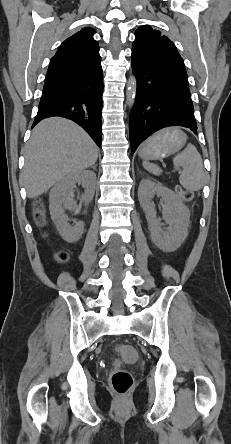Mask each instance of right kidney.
Segmentation results:
<instances>
[{"instance_id": "1", "label": "right kidney", "mask_w": 231, "mask_h": 444, "mask_svg": "<svg viewBox=\"0 0 231 444\" xmlns=\"http://www.w3.org/2000/svg\"><path fill=\"white\" fill-rule=\"evenodd\" d=\"M96 175L92 171L83 170L75 174H70L57 182L50 191L49 210L50 215L57 226L61 236L68 242L77 241L84 230L82 221L74 222L71 225L68 222V216L64 213V209L80 211L81 206L73 200L76 183H80L85 189L82 195V202L88 204L92 201L95 192Z\"/></svg>"}]
</instances>
